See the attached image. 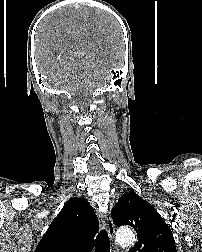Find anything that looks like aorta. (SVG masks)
I'll return each instance as SVG.
<instances>
[{"mask_svg":"<svg viewBox=\"0 0 202 252\" xmlns=\"http://www.w3.org/2000/svg\"><path fill=\"white\" fill-rule=\"evenodd\" d=\"M116 240L122 247H127L134 243L135 235L130 229H122L117 232Z\"/></svg>","mask_w":202,"mask_h":252,"instance_id":"obj_1","label":"aorta"}]
</instances>
